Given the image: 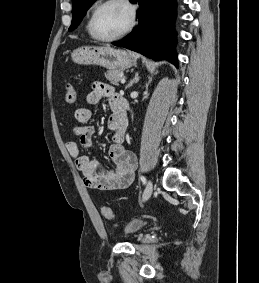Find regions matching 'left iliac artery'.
<instances>
[{"label":"left iliac artery","mask_w":259,"mask_h":283,"mask_svg":"<svg viewBox=\"0 0 259 283\" xmlns=\"http://www.w3.org/2000/svg\"><path fill=\"white\" fill-rule=\"evenodd\" d=\"M141 181L143 182V184L146 183V178L144 176H140Z\"/></svg>","instance_id":"left-iliac-artery-1"}]
</instances>
